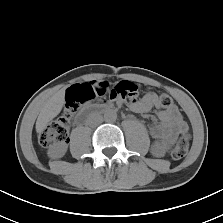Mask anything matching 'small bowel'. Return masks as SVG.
Returning a JSON list of instances; mask_svg holds the SVG:
<instances>
[{
	"label": "small bowel",
	"mask_w": 223,
	"mask_h": 223,
	"mask_svg": "<svg viewBox=\"0 0 223 223\" xmlns=\"http://www.w3.org/2000/svg\"><path fill=\"white\" fill-rule=\"evenodd\" d=\"M129 106L137 113H147L153 108L158 109V122L149 128L150 135L155 140L151 148L155 157H162L179 136L189 131L188 124L178 108L173 105L161 108L158 96L154 92H147L142 98L133 99Z\"/></svg>",
	"instance_id": "obj_1"
}]
</instances>
